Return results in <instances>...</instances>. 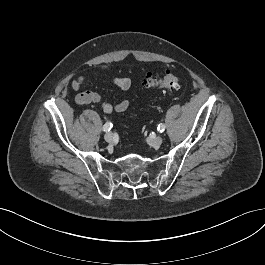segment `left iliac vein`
Returning <instances> with one entry per match:
<instances>
[{
  "label": "left iliac vein",
  "mask_w": 265,
  "mask_h": 265,
  "mask_svg": "<svg viewBox=\"0 0 265 265\" xmlns=\"http://www.w3.org/2000/svg\"><path fill=\"white\" fill-rule=\"evenodd\" d=\"M163 142V138L161 136H156L148 139V143L153 147H159Z\"/></svg>",
  "instance_id": "4c4485c4"
}]
</instances>
